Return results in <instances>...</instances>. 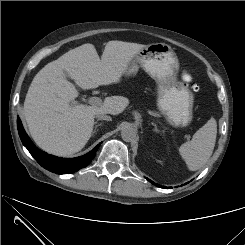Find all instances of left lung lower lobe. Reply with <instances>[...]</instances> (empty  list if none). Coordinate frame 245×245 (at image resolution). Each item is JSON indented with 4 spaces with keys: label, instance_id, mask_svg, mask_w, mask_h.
Masks as SVG:
<instances>
[{
    "label": "left lung lower lobe",
    "instance_id": "0a47b994",
    "mask_svg": "<svg viewBox=\"0 0 245 245\" xmlns=\"http://www.w3.org/2000/svg\"><path fill=\"white\" fill-rule=\"evenodd\" d=\"M153 183V182H152ZM153 184H155V183H153ZM156 186H159L158 184H155ZM160 187H162V186H160ZM164 188H166V187H164Z\"/></svg>",
    "mask_w": 245,
    "mask_h": 245
}]
</instances>
